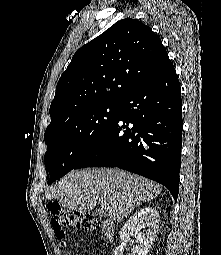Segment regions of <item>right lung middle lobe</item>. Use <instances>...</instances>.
Segmentation results:
<instances>
[{
	"instance_id": "right-lung-middle-lobe-1",
	"label": "right lung middle lobe",
	"mask_w": 221,
	"mask_h": 255,
	"mask_svg": "<svg viewBox=\"0 0 221 255\" xmlns=\"http://www.w3.org/2000/svg\"><path fill=\"white\" fill-rule=\"evenodd\" d=\"M120 104L104 103L84 108L45 131L47 184L63 177L87 155L115 121Z\"/></svg>"
}]
</instances>
